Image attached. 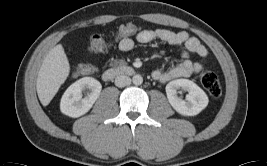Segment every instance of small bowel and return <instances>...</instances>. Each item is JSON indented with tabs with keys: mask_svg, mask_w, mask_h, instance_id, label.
<instances>
[{
	"mask_svg": "<svg viewBox=\"0 0 267 166\" xmlns=\"http://www.w3.org/2000/svg\"><path fill=\"white\" fill-rule=\"evenodd\" d=\"M135 40L138 43L146 44L154 40H159L180 48L181 62L173 65L167 71L155 70L152 72V78L161 83H167L178 78H188L198 73L203 68V61L208 55L206 47L195 37L187 32H174L168 29L141 30L135 34ZM135 42L130 35L124 39H119L118 48L121 52H129L134 48ZM189 54H195L201 58V61L192 62L188 59Z\"/></svg>",
	"mask_w": 267,
	"mask_h": 166,
	"instance_id": "1",
	"label": "small bowel"
}]
</instances>
